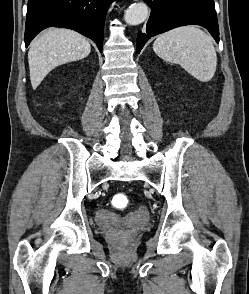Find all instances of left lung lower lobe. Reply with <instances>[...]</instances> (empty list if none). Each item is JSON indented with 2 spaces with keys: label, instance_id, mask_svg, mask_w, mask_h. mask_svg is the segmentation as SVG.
Instances as JSON below:
<instances>
[{
  "label": "left lung lower lobe",
  "instance_id": "0a47b994",
  "mask_svg": "<svg viewBox=\"0 0 249 294\" xmlns=\"http://www.w3.org/2000/svg\"><path fill=\"white\" fill-rule=\"evenodd\" d=\"M151 6L146 32H138L137 53L152 36L188 24L205 27L216 42L219 28L214 0H145Z\"/></svg>",
  "mask_w": 249,
  "mask_h": 294
}]
</instances>
